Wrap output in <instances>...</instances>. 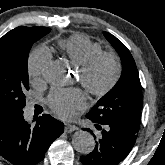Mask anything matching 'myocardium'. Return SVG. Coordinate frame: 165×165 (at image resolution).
<instances>
[{
    "mask_svg": "<svg viewBox=\"0 0 165 165\" xmlns=\"http://www.w3.org/2000/svg\"><path fill=\"white\" fill-rule=\"evenodd\" d=\"M108 61L112 66V72L108 81L98 85L93 81V74L102 61ZM122 72L119 57L113 52L100 51L92 55L79 67L80 83L92 95L101 97L108 94L118 83Z\"/></svg>",
    "mask_w": 165,
    "mask_h": 165,
    "instance_id": "1",
    "label": "myocardium"
}]
</instances>
